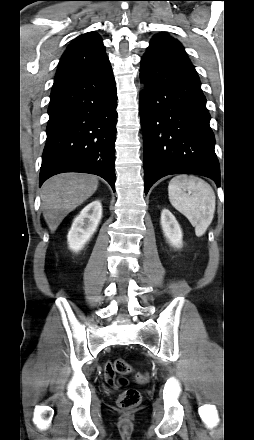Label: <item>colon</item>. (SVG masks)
<instances>
[{
	"mask_svg": "<svg viewBox=\"0 0 254 440\" xmlns=\"http://www.w3.org/2000/svg\"><path fill=\"white\" fill-rule=\"evenodd\" d=\"M112 370L114 373L118 374L120 378L117 384L119 386H124L126 384L125 376L128 375L132 368L128 361L122 358H118L113 362ZM137 380L139 382H145L147 378L145 376H138ZM141 402L140 392L136 389L125 390L118 399V405L124 410H129L137 407Z\"/></svg>",
	"mask_w": 254,
	"mask_h": 440,
	"instance_id": "obj_1",
	"label": "colon"
}]
</instances>
